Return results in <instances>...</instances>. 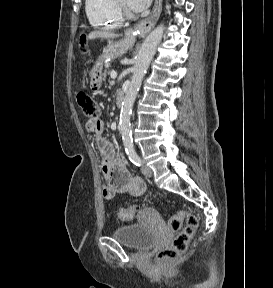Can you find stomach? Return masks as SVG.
<instances>
[{
	"label": "stomach",
	"mask_w": 273,
	"mask_h": 288,
	"mask_svg": "<svg viewBox=\"0 0 273 288\" xmlns=\"http://www.w3.org/2000/svg\"><path fill=\"white\" fill-rule=\"evenodd\" d=\"M132 43L127 39H121L118 41H109L108 44L103 48L101 55L96 61V65L91 70L92 77V89L98 90L101 82V71L102 65L106 61L113 60L117 57L123 55L130 47ZM78 51L81 55H86L88 53V45L86 44L84 38L79 43ZM99 73V75H98Z\"/></svg>",
	"instance_id": "stomach-1"
}]
</instances>
